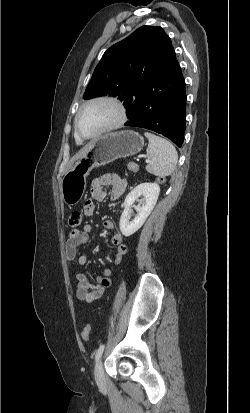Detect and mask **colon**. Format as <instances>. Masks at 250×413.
I'll use <instances>...</instances> for the list:
<instances>
[{
  "mask_svg": "<svg viewBox=\"0 0 250 413\" xmlns=\"http://www.w3.org/2000/svg\"><path fill=\"white\" fill-rule=\"evenodd\" d=\"M128 169L132 172H138L140 170V167L135 162H129ZM166 181H167V176L165 174H158L156 176L157 186H163ZM82 220H83L82 213L80 211H74L73 213H71V215L68 218V225L72 230L78 229L80 225L82 224ZM90 332H91V325L90 324L85 325V327L83 328L81 332V337L84 341L89 340Z\"/></svg>",
  "mask_w": 250,
  "mask_h": 413,
  "instance_id": "5ec220e1",
  "label": "colon"
}]
</instances>
